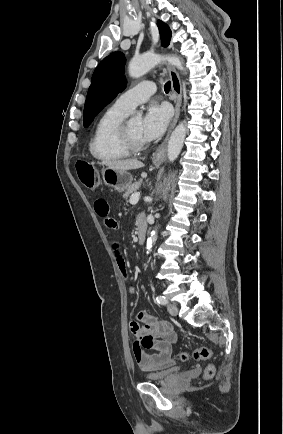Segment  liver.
<instances>
[{
    "label": "liver",
    "mask_w": 283,
    "mask_h": 434,
    "mask_svg": "<svg viewBox=\"0 0 283 434\" xmlns=\"http://www.w3.org/2000/svg\"><path fill=\"white\" fill-rule=\"evenodd\" d=\"M103 164L106 165L108 168L123 171L139 169L144 166L143 163L137 159L104 161Z\"/></svg>",
    "instance_id": "6515ba94"
}]
</instances>
